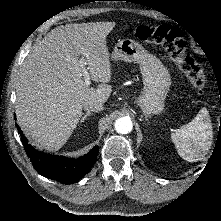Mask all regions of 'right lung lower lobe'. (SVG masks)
<instances>
[{"label":"right lung lower lobe","instance_id":"1","mask_svg":"<svg viewBox=\"0 0 221 221\" xmlns=\"http://www.w3.org/2000/svg\"><path fill=\"white\" fill-rule=\"evenodd\" d=\"M17 126V125H16ZM24 149L36 171L47 178L63 184H73L89 172L95 163L99 147H94L86 155L71 159L63 156L47 155L34 149L19 130Z\"/></svg>","mask_w":221,"mask_h":221}]
</instances>
